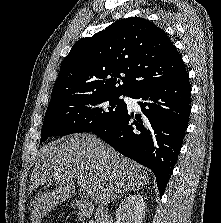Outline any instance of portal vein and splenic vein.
<instances>
[{
  "instance_id": "portal-vein-and-splenic-vein-1",
  "label": "portal vein and splenic vein",
  "mask_w": 221,
  "mask_h": 223,
  "mask_svg": "<svg viewBox=\"0 0 221 223\" xmlns=\"http://www.w3.org/2000/svg\"><path fill=\"white\" fill-rule=\"evenodd\" d=\"M78 185L80 186V190L85 191L88 195H93L94 194L93 189L90 186H88L87 184L82 183V182H78Z\"/></svg>"
}]
</instances>
